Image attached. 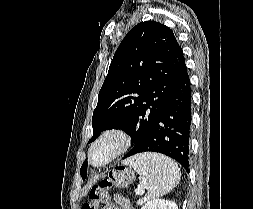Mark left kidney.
I'll list each match as a JSON object with an SVG mask.
<instances>
[{"instance_id": "5707ae66", "label": "left kidney", "mask_w": 253, "mask_h": 209, "mask_svg": "<svg viewBox=\"0 0 253 209\" xmlns=\"http://www.w3.org/2000/svg\"><path fill=\"white\" fill-rule=\"evenodd\" d=\"M141 209H178V206L170 200L153 199L145 203Z\"/></svg>"}]
</instances>
